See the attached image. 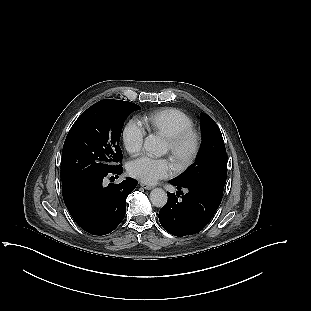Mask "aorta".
<instances>
[{"instance_id":"aorta-1","label":"aorta","mask_w":311,"mask_h":311,"mask_svg":"<svg viewBox=\"0 0 311 311\" xmlns=\"http://www.w3.org/2000/svg\"><path fill=\"white\" fill-rule=\"evenodd\" d=\"M144 149L155 156H162L166 153L163 140L155 135H149L144 141ZM168 196L162 188H154L150 192V201L153 206L162 208L166 205Z\"/></svg>"}]
</instances>
